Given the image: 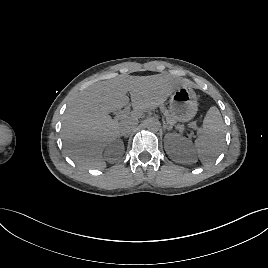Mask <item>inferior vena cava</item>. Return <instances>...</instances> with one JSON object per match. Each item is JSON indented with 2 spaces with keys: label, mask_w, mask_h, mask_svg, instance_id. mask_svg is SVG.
Returning <instances> with one entry per match:
<instances>
[{
  "label": "inferior vena cava",
  "mask_w": 268,
  "mask_h": 268,
  "mask_svg": "<svg viewBox=\"0 0 268 268\" xmlns=\"http://www.w3.org/2000/svg\"><path fill=\"white\" fill-rule=\"evenodd\" d=\"M137 124L138 121L133 119L122 121L120 124V133L125 136L129 135L132 131L135 130Z\"/></svg>",
  "instance_id": "602c4592"
}]
</instances>
